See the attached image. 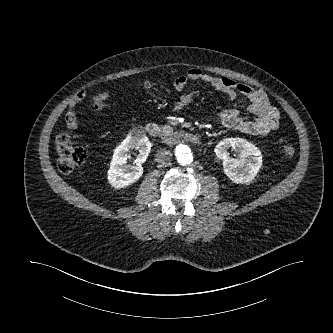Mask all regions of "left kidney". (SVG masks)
I'll list each match as a JSON object with an SVG mask.
<instances>
[{"label": "left kidney", "mask_w": 333, "mask_h": 333, "mask_svg": "<svg viewBox=\"0 0 333 333\" xmlns=\"http://www.w3.org/2000/svg\"><path fill=\"white\" fill-rule=\"evenodd\" d=\"M231 148L239 151V159L230 156ZM214 151L216 156L223 160L224 173L235 183L251 182L262 166L260 150L242 138L223 139L216 145Z\"/></svg>", "instance_id": "obj_1"}]
</instances>
